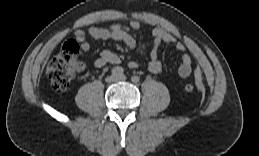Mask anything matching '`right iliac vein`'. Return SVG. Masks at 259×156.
I'll list each match as a JSON object with an SVG mask.
<instances>
[{"instance_id": "obj_1", "label": "right iliac vein", "mask_w": 259, "mask_h": 156, "mask_svg": "<svg viewBox=\"0 0 259 156\" xmlns=\"http://www.w3.org/2000/svg\"><path fill=\"white\" fill-rule=\"evenodd\" d=\"M115 81H117V76L111 75L106 78V82H108V83H112Z\"/></svg>"}]
</instances>
